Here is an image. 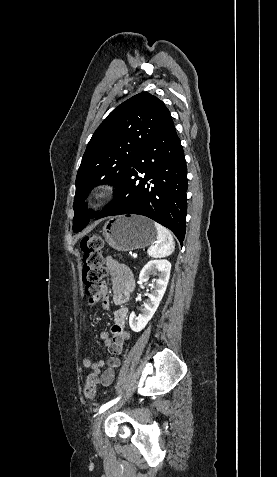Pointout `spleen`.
Wrapping results in <instances>:
<instances>
[{
	"mask_svg": "<svg viewBox=\"0 0 277 477\" xmlns=\"http://www.w3.org/2000/svg\"><path fill=\"white\" fill-rule=\"evenodd\" d=\"M157 230V243L150 246L147 253L153 258H162L172 254L175 248L173 237L164 226L154 223Z\"/></svg>",
	"mask_w": 277,
	"mask_h": 477,
	"instance_id": "obj_1",
	"label": "spleen"
}]
</instances>
